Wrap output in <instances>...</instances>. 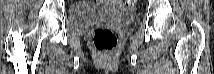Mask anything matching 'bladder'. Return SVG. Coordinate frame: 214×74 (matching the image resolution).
Instances as JSON below:
<instances>
[{"instance_id": "bladder-1", "label": "bladder", "mask_w": 214, "mask_h": 74, "mask_svg": "<svg viewBox=\"0 0 214 74\" xmlns=\"http://www.w3.org/2000/svg\"><path fill=\"white\" fill-rule=\"evenodd\" d=\"M67 19L70 29L78 33L86 26L97 22H113L118 26H125L134 21L135 15L105 6L75 5L70 9Z\"/></svg>"}]
</instances>
